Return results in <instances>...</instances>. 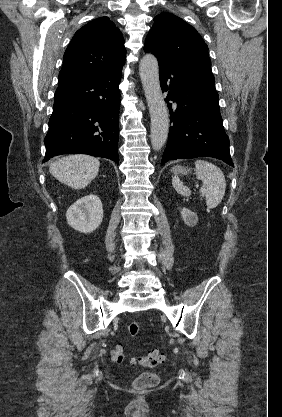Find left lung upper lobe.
<instances>
[{
    "label": "left lung upper lobe",
    "mask_w": 282,
    "mask_h": 417,
    "mask_svg": "<svg viewBox=\"0 0 282 417\" xmlns=\"http://www.w3.org/2000/svg\"><path fill=\"white\" fill-rule=\"evenodd\" d=\"M154 21L144 50L152 52L158 61L167 65L211 67L208 47L194 27L168 12L160 13Z\"/></svg>",
    "instance_id": "5c2ea615"
}]
</instances>
